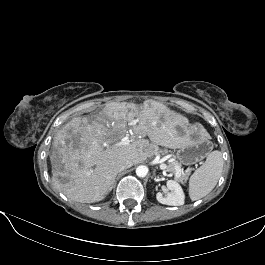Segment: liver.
Instances as JSON below:
<instances>
[{
    "label": "liver",
    "instance_id": "obj_1",
    "mask_svg": "<svg viewBox=\"0 0 265 265\" xmlns=\"http://www.w3.org/2000/svg\"><path fill=\"white\" fill-rule=\"evenodd\" d=\"M135 117L137 119H135ZM188 119L160 103L139 111L126 102L107 103L94 117H74L54 138L51 156L54 185L73 201H101L111 190L117 164H138L159 153V146L177 149L189 140ZM132 130L130 145L117 146ZM178 128L186 134L181 136ZM148 136L150 141L144 138ZM56 157L63 169L58 170Z\"/></svg>",
    "mask_w": 265,
    "mask_h": 265
}]
</instances>
